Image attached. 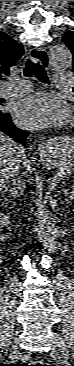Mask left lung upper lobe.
<instances>
[{
    "label": "left lung upper lobe",
    "instance_id": "1",
    "mask_svg": "<svg viewBox=\"0 0 74 366\" xmlns=\"http://www.w3.org/2000/svg\"><path fill=\"white\" fill-rule=\"evenodd\" d=\"M62 40L64 41L65 45L71 50L72 55H73V63H72V67L74 70V32L72 31H68L66 32L63 37ZM73 92H74V88H73Z\"/></svg>",
    "mask_w": 74,
    "mask_h": 366
}]
</instances>
